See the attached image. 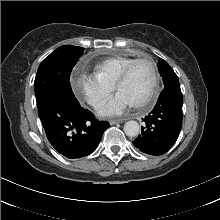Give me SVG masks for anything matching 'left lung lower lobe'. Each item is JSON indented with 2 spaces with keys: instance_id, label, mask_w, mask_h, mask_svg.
Masks as SVG:
<instances>
[{
  "instance_id": "left-lung-lower-lobe-1",
  "label": "left lung lower lobe",
  "mask_w": 220,
  "mask_h": 220,
  "mask_svg": "<svg viewBox=\"0 0 220 220\" xmlns=\"http://www.w3.org/2000/svg\"><path fill=\"white\" fill-rule=\"evenodd\" d=\"M182 105L180 86L164 88L153 110L143 119L145 126L133 144L150 155L166 153L176 142L181 130Z\"/></svg>"
}]
</instances>
